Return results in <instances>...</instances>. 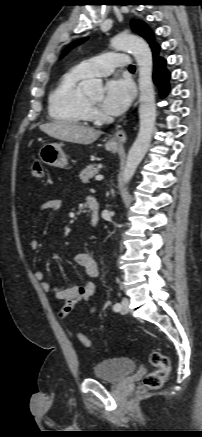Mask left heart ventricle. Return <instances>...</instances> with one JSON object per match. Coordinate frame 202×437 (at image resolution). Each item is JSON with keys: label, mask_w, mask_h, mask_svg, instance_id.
I'll return each instance as SVG.
<instances>
[{"label": "left heart ventricle", "mask_w": 202, "mask_h": 437, "mask_svg": "<svg viewBox=\"0 0 202 437\" xmlns=\"http://www.w3.org/2000/svg\"><path fill=\"white\" fill-rule=\"evenodd\" d=\"M90 100H92L95 103H100L102 100V94H97L89 97Z\"/></svg>", "instance_id": "left-heart-ventricle-1"}]
</instances>
